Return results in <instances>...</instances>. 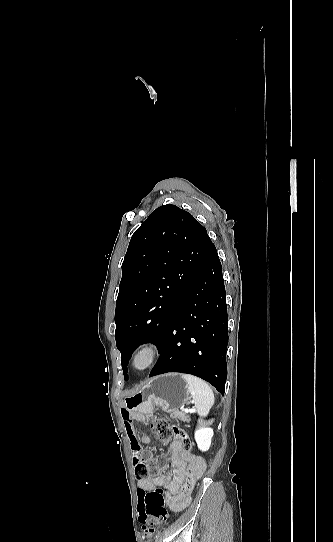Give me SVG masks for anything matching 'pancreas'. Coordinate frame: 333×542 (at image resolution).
Segmentation results:
<instances>
[{"label": "pancreas", "instance_id": "cf45deb5", "mask_svg": "<svg viewBox=\"0 0 333 542\" xmlns=\"http://www.w3.org/2000/svg\"><path fill=\"white\" fill-rule=\"evenodd\" d=\"M170 418L172 420H181V422H190L191 418L186 414V412H175V410H172V412H169Z\"/></svg>", "mask_w": 333, "mask_h": 542}]
</instances>
